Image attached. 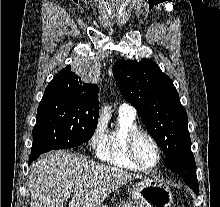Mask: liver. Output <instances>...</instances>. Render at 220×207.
Returning <instances> with one entry per match:
<instances>
[{
  "mask_svg": "<svg viewBox=\"0 0 220 207\" xmlns=\"http://www.w3.org/2000/svg\"><path fill=\"white\" fill-rule=\"evenodd\" d=\"M140 177L75 153L51 151L31 166V207H64L68 197V207L101 206L111 192Z\"/></svg>",
  "mask_w": 220,
  "mask_h": 207,
  "instance_id": "1",
  "label": "liver"
}]
</instances>
